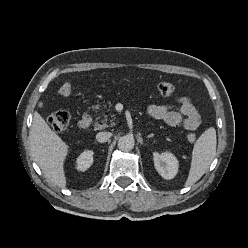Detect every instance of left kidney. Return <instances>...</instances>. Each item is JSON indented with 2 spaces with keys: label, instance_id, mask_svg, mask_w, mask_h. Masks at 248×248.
<instances>
[{
  "label": "left kidney",
  "instance_id": "5707ae66",
  "mask_svg": "<svg viewBox=\"0 0 248 248\" xmlns=\"http://www.w3.org/2000/svg\"><path fill=\"white\" fill-rule=\"evenodd\" d=\"M153 161L156 171L164 179L169 180L176 176L179 164L177 158L172 153L167 151L162 153L154 152Z\"/></svg>",
  "mask_w": 248,
  "mask_h": 248
}]
</instances>
